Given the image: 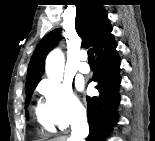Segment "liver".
<instances>
[{
	"label": "liver",
	"mask_w": 155,
	"mask_h": 141,
	"mask_svg": "<svg viewBox=\"0 0 155 141\" xmlns=\"http://www.w3.org/2000/svg\"><path fill=\"white\" fill-rule=\"evenodd\" d=\"M66 139H67L66 137H58V138L52 139L51 141H68Z\"/></svg>",
	"instance_id": "1"
}]
</instances>
